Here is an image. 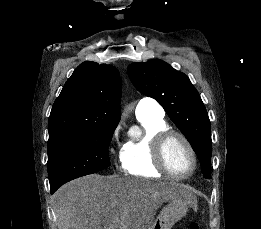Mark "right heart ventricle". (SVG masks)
<instances>
[{"label": "right heart ventricle", "instance_id": "right-heart-ventricle-1", "mask_svg": "<svg viewBox=\"0 0 261 229\" xmlns=\"http://www.w3.org/2000/svg\"><path fill=\"white\" fill-rule=\"evenodd\" d=\"M144 132L139 138L127 141L120 150L123 169L138 176H152L161 173L153 158V144L156 136L169 127L163 117L145 116L138 118Z\"/></svg>", "mask_w": 261, "mask_h": 229}]
</instances>
